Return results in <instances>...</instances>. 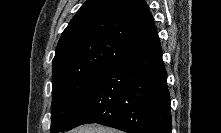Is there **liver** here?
I'll return each mask as SVG.
<instances>
[{
  "mask_svg": "<svg viewBox=\"0 0 221 133\" xmlns=\"http://www.w3.org/2000/svg\"><path fill=\"white\" fill-rule=\"evenodd\" d=\"M71 133H119V132L115 129H110L100 125H86L72 130Z\"/></svg>",
  "mask_w": 221,
  "mask_h": 133,
  "instance_id": "obj_1",
  "label": "liver"
}]
</instances>
